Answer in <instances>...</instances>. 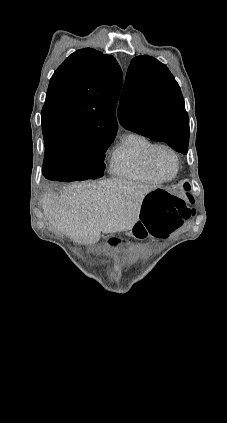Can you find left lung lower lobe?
Returning a JSON list of instances; mask_svg holds the SVG:
<instances>
[{"label": "left lung lower lobe", "instance_id": "obj_1", "mask_svg": "<svg viewBox=\"0 0 227 423\" xmlns=\"http://www.w3.org/2000/svg\"><path fill=\"white\" fill-rule=\"evenodd\" d=\"M173 149H175L176 151L181 152L183 154H186L187 150H188V144L183 143V144H180L177 147H174Z\"/></svg>", "mask_w": 227, "mask_h": 423}]
</instances>
